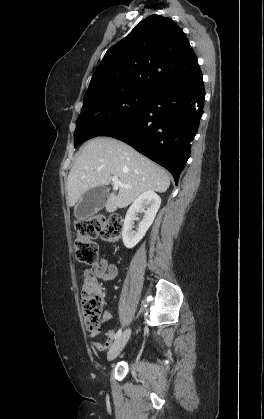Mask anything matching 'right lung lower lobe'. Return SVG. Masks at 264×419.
<instances>
[{
  "mask_svg": "<svg viewBox=\"0 0 264 419\" xmlns=\"http://www.w3.org/2000/svg\"><path fill=\"white\" fill-rule=\"evenodd\" d=\"M203 78L192 84H174L154 91L124 121L100 136L121 140L166 168L176 184L190 156L201 116Z\"/></svg>",
  "mask_w": 264,
  "mask_h": 419,
  "instance_id": "1",
  "label": "right lung lower lobe"
}]
</instances>
